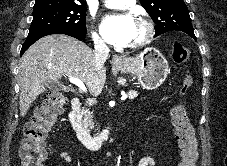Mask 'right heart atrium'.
I'll return each mask as SVG.
<instances>
[{"label": "right heart atrium", "instance_id": "right-heart-atrium-1", "mask_svg": "<svg viewBox=\"0 0 227 166\" xmlns=\"http://www.w3.org/2000/svg\"><path fill=\"white\" fill-rule=\"evenodd\" d=\"M92 40L96 46L102 47L105 46L104 39L99 35L97 31H92Z\"/></svg>", "mask_w": 227, "mask_h": 166}]
</instances>
